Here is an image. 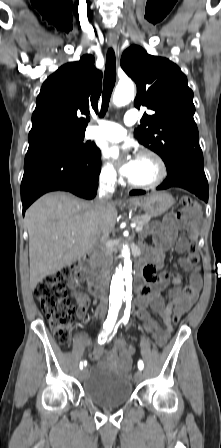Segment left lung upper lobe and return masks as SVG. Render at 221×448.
I'll use <instances>...</instances> for the list:
<instances>
[{
  "mask_svg": "<svg viewBox=\"0 0 221 448\" xmlns=\"http://www.w3.org/2000/svg\"><path fill=\"white\" fill-rule=\"evenodd\" d=\"M121 67L137 85L134 105L147 107L135 131L139 142L164 162L182 152L201 150L194 121L193 92L180 68L133 45L121 57Z\"/></svg>",
  "mask_w": 221,
  "mask_h": 448,
  "instance_id": "1",
  "label": "left lung upper lobe"
}]
</instances>
